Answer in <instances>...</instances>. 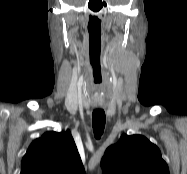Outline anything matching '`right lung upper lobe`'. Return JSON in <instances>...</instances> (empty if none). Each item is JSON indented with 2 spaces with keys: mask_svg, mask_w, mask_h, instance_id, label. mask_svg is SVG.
I'll use <instances>...</instances> for the list:
<instances>
[{
  "mask_svg": "<svg viewBox=\"0 0 187 174\" xmlns=\"http://www.w3.org/2000/svg\"><path fill=\"white\" fill-rule=\"evenodd\" d=\"M20 174H85L70 132H47L33 141L22 159Z\"/></svg>",
  "mask_w": 187,
  "mask_h": 174,
  "instance_id": "1",
  "label": "right lung upper lobe"
}]
</instances>
